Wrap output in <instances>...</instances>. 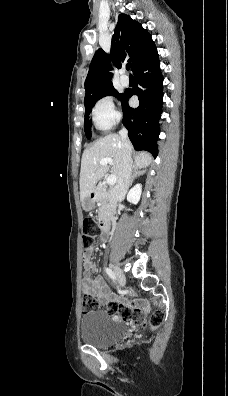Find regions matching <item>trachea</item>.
<instances>
[{
	"mask_svg": "<svg viewBox=\"0 0 228 396\" xmlns=\"http://www.w3.org/2000/svg\"><path fill=\"white\" fill-rule=\"evenodd\" d=\"M126 69L129 70L130 69V65H126Z\"/></svg>",
	"mask_w": 228,
	"mask_h": 396,
	"instance_id": "trachea-1",
	"label": "trachea"
}]
</instances>
